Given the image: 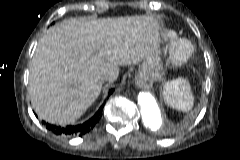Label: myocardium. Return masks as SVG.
<instances>
[{"instance_id":"f54148a6","label":"myocardium","mask_w":240,"mask_h":160,"mask_svg":"<svg viewBox=\"0 0 240 160\" xmlns=\"http://www.w3.org/2000/svg\"><path fill=\"white\" fill-rule=\"evenodd\" d=\"M194 53V45L186 38L174 40L169 48V58L174 65L186 63Z\"/></svg>"}]
</instances>
